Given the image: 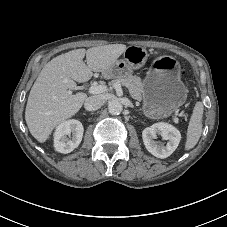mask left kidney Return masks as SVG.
Segmentation results:
<instances>
[{
  "instance_id": "1",
  "label": "left kidney",
  "mask_w": 227,
  "mask_h": 227,
  "mask_svg": "<svg viewBox=\"0 0 227 227\" xmlns=\"http://www.w3.org/2000/svg\"><path fill=\"white\" fill-rule=\"evenodd\" d=\"M160 135L164 140H168L166 146H162L154 139ZM142 138L146 149L157 158H167L178 147L181 134L178 129L167 123H155L147 127L142 132Z\"/></svg>"
}]
</instances>
